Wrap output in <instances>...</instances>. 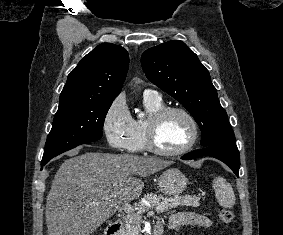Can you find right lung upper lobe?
<instances>
[{"label": "right lung upper lobe", "instance_id": "obj_1", "mask_svg": "<svg viewBox=\"0 0 283 235\" xmlns=\"http://www.w3.org/2000/svg\"><path fill=\"white\" fill-rule=\"evenodd\" d=\"M128 65L126 49L111 43L98 45L68 75L60 102L75 99L114 100L122 89Z\"/></svg>", "mask_w": 283, "mask_h": 235}]
</instances>
